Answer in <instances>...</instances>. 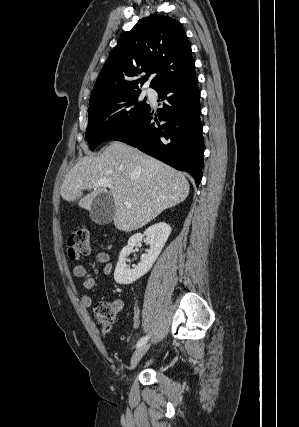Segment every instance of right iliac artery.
Wrapping results in <instances>:
<instances>
[{"label": "right iliac artery", "instance_id": "82829eb1", "mask_svg": "<svg viewBox=\"0 0 299 427\" xmlns=\"http://www.w3.org/2000/svg\"><path fill=\"white\" fill-rule=\"evenodd\" d=\"M148 339H149V335L142 337V338L138 341V343H137L136 347L138 348V347H140V346L144 345V344L148 341Z\"/></svg>", "mask_w": 299, "mask_h": 427}]
</instances>
